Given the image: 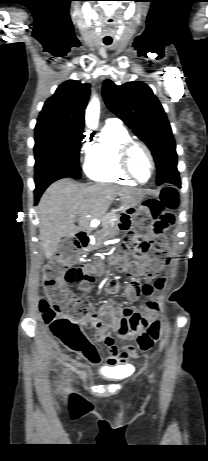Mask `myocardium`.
Here are the masks:
<instances>
[{"label":"myocardium","mask_w":208,"mask_h":461,"mask_svg":"<svg viewBox=\"0 0 208 461\" xmlns=\"http://www.w3.org/2000/svg\"><path fill=\"white\" fill-rule=\"evenodd\" d=\"M141 148L148 156L150 164H151V173L147 180L142 181L140 180L132 171L130 165V157L134 149ZM119 164L122 171L133 179L137 183L145 184L149 182L155 174L156 171V163L154 156L150 150V148L142 141L130 139L126 141L120 148L119 152Z\"/></svg>","instance_id":"obj_1"}]
</instances>
